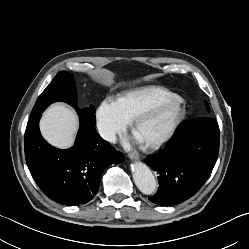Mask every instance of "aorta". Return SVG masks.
Listing matches in <instances>:
<instances>
[{
  "label": "aorta",
  "mask_w": 249,
  "mask_h": 249,
  "mask_svg": "<svg viewBox=\"0 0 249 249\" xmlns=\"http://www.w3.org/2000/svg\"><path fill=\"white\" fill-rule=\"evenodd\" d=\"M133 180L137 188L146 195H151L156 190V180L149 167L136 161L131 165Z\"/></svg>",
  "instance_id": "762f6f07"
}]
</instances>
